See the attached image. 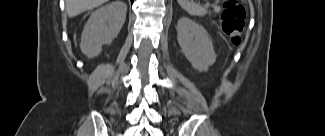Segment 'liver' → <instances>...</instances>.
Instances as JSON below:
<instances>
[{
    "label": "liver",
    "mask_w": 325,
    "mask_h": 136,
    "mask_svg": "<svg viewBox=\"0 0 325 136\" xmlns=\"http://www.w3.org/2000/svg\"><path fill=\"white\" fill-rule=\"evenodd\" d=\"M107 0H66V12L68 17H75L80 13L96 8Z\"/></svg>",
    "instance_id": "liver-1"
}]
</instances>
